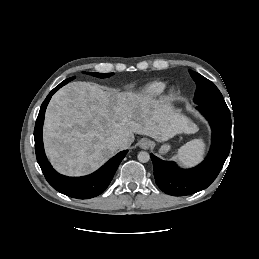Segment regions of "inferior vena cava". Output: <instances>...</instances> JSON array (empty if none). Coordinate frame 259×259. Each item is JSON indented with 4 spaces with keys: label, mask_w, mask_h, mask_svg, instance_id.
<instances>
[{
    "label": "inferior vena cava",
    "mask_w": 259,
    "mask_h": 259,
    "mask_svg": "<svg viewBox=\"0 0 259 259\" xmlns=\"http://www.w3.org/2000/svg\"><path fill=\"white\" fill-rule=\"evenodd\" d=\"M111 143L117 148H123L126 146V141L123 137L116 135L111 139Z\"/></svg>",
    "instance_id": "obj_1"
}]
</instances>
